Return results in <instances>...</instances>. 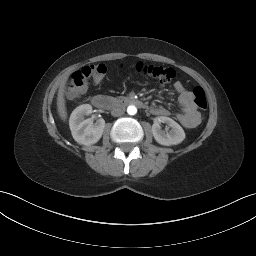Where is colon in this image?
Here are the masks:
<instances>
[{
  "label": "colon",
  "instance_id": "colon-1",
  "mask_svg": "<svg viewBox=\"0 0 256 256\" xmlns=\"http://www.w3.org/2000/svg\"><path fill=\"white\" fill-rule=\"evenodd\" d=\"M135 70L143 75L151 77L161 83H170L176 76L175 71L170 67L137 63ZM106 73L104 64L85 66L74 72L66 89V96L69 99L79 98L87 90L91 82H100ZM194 103L200 110L207 108V97L204 89L197 86L193 89Z\"/></svg>",
  "mask_w": 256,
  "mask_h": 256
}]
</instances>
